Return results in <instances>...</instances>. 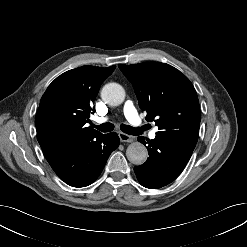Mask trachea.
<instances>
[{
  "instance_id": "obj_1",
  "label": "trachea",
  "mask_w": 247,
  "mask_h": 247,
  "mask_svg": "<svg viewBox=\"0 0 247 247\" xmlns=\"http://www.w3.org/2000/svg\"><path fill=\"white\" fill-rule=\"evenodd\" d=\"M94 128L102 131V132H111L114 129V125L110 122L103 123L101 125H93ZM120 129L122 132L129 135H139L143 132L141 129L134 128L129 125L121 124Z\"/></svg>"
}]
</instances>
